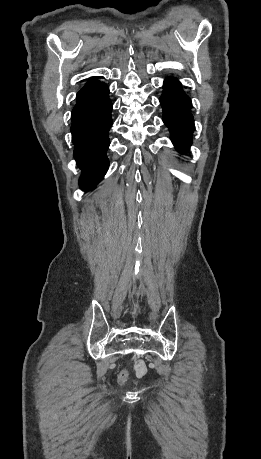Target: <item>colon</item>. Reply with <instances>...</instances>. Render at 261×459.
<instances>
[{
	"mask_svg": "<svg viewBox=\"0 0 261 459\" xmlns=\"http://www.w3.org/2000/svg\"><path fill=\"white\" fill-rule=\"evenodd\" d=\"M126 378H127V372L123 371L119 376V382L123 383L126 380Z\"/></svg>",
	"mask_w": 261,
	"mask_h": 459,
	"instance_id": "5ec220e1",
	"label": "colon"
}]
</instances>
